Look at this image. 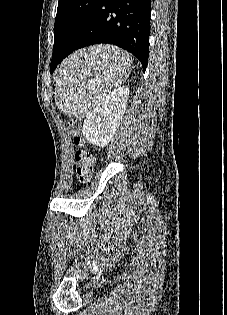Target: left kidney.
I'll return each mask as SVG.
<instances>
[{
	"instance_id": "obj_1",
	"label": "left kidney",
	"mask_w": 227,
	"mask_h": 315,
	"mask_svg": "<svg viewBox=\"0 0 227 315\" xmlns=\"http://www.w3.org/2000/svg\"><path fill=\"white\" fill-rule=\"evenodd\" d=\"M128 96L129 88L119 87L86 117L82 132L89 143L102 148L108 145L126 111Z\"/></svg>"
}]
</instances>
